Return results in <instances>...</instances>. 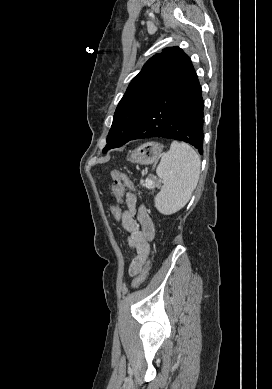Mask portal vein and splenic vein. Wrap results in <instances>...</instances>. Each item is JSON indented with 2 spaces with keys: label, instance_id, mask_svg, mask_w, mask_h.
<instances>
[{
  "label": "portal vein and splenic vein",
  "instance_id": "1",
  "mask_svg": "<svg viewBox=\"0 0 272 389\" xmlns=\"http://www.w3.org/2000/svg\"><path fill=\"white\" fill-rule=\"evenodd\" d=\"M146 185H147V186H152V185H153V182H152L151 180H148V181H146Z\"/></svg>",
  "mask_w": 272,
  "mask_h": 389
}]
</instances>
